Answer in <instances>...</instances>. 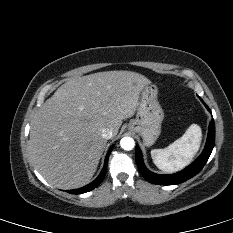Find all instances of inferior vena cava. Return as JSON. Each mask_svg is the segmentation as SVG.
<instances>
[{
	"label": "inferior vena cava",
	"instance_id": "1",
	"mask_svg": "<svg viewBox=\"0 0 233 233\" xmlns=\"http://www.w3.org/2000/svg\"><path fill=\"white\" fill-rule=\"evenodd\" d=\"M101 136H102L104 139L108 140V139H111V138H112L113 132H112L110 129H108V128H104V129L101 131Z\"/></svg>",
	"mask_w": 233,
	"mask_h": 233
}]
</instances>
